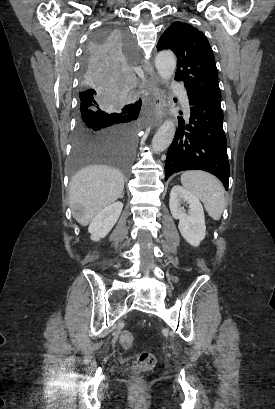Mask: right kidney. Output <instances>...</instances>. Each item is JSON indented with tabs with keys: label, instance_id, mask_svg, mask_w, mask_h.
Wrapping results in <instances>:
<instances>
[{
	"label": "right kidney",
	"instance_id": "right-kidney-1",
	"mask_svg": "<svg viewBox=\"0 0 275 409\" xmlns=\"http://www.w3.org/2000/svg\"><path fill=\"white\" fill-rule=\"evenodd\" d=\"M122 209L123 202L116 200V202H112V205H108L106 209L98 213L97 217L91 221L88 227L92 241H100V239H104L110 233L115 223H117Z\"/></svg>",
	"mask_w": 275,
	"mask_h": 409
}]
</instances>
